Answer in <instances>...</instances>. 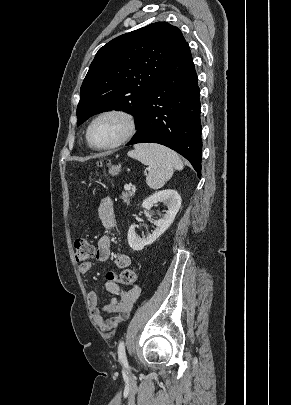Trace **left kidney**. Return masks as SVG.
Instances as JSON below:
<instances>
[{"label":"left kidney","instance_id":"obj_1","mask_svg":"<svg viewBox=\"0 0 291 405\" xmlns=\"http://www.w3.org/2000/svg\"><path fill=\"white\" fill-rule=\"evenodd\" d=\"M159 202L166 204L168 210L163 218L154 221L156 229L151 234L141 238L135 232V225L130 226L128 230V243L133 250L140 251L146 245L152 244L170 227L181 206V197L175 190H161L145 199L142 203V207L149 210L152 206Z\"/></svg>","mask_w":291,"mask_h":405}]
</instances>
